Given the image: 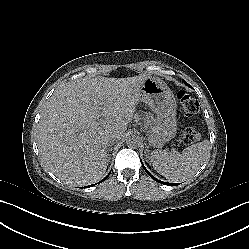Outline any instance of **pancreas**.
Masks as SVG:
<instances>
[{
	"instance_id": "1",
	"label": "pancreas",
	"mask_w": 249,
	"mask_h": 249,
	"mask_svg": "<svg viewBox=\"0 0 249 249\" xmlns=\"http://www.w3.org/2000/svg\"><path fill=\"white\" fill-rule=\"evenodd\" d=\"M145 118H147V115H146V117H145ZM149 123H150V121L145 122V124H146V125H148Z\"/></svg>"
}]
</instances>
